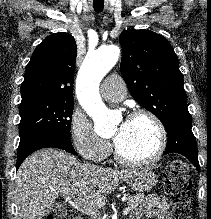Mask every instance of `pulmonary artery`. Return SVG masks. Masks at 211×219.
<instances>
[{
  "mask_svg": "<svg viewBox=\"0 0 211 219\" xmlns=\"http://www.w3.org/2000/svg\"><path fill=\"white\" fill-rule=\"evenodd\" d=\"M126 95V86L118 74L108 76L102 84V96L108 101H119Z\"/></svg>",
  "mask_w": 211,
  "mask_h": 219,
  "instance_id": "obj_1",
  "label": "pulmonary artery"
}]
</instances>
